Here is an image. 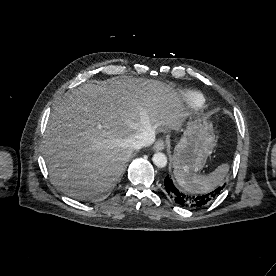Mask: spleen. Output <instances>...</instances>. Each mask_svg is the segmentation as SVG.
I'll use <instances>...</instances> for the list:
<instances>
[{"label":"spleen","instance_id":"spleen-1","mask_svg":"<svg viewBox=\"0 0 276 276\" xmlns=\"http://www.w3.org/2000/svg\"><path fill=\"white\" fill-rule=\"evenodd\" d=\"M228 171V164H222L207 175H197L177 169L174 170V175L178 184L185 191L196 194L208 192L222 185Z\"/></svg>","mask_w":276,"mask_h":276}]
</instances>
